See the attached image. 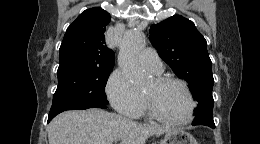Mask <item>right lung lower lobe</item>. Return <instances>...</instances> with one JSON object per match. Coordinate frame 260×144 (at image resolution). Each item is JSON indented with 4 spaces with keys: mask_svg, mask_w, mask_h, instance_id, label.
I'll list each match as a JSON object with an SVG mask.
<instances>
[{
    "mask_svg": "<svg viewBox=\"0 0 260 144\" xmlns=\"http://www.w3.org/2000/svg\"><path fill=\"white\" fill-rule=\"evenodd\" d=\"M95 108H102V109H105L106 108V105H103V106H96ZM54 117H49L48 118V122Z\"/></svg>",
    "mask_w": 260,
    "mask_h": 144,
    "instance_id": "1",
    "label": "right lung lower lobe"
}]
</instances>
